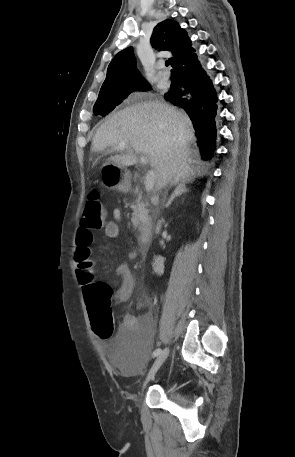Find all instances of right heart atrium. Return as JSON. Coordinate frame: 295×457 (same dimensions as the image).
<instances>
[{"mask_svg":"<svg viewBox=\"0 0 295 457\" xmlns=\"http://www.w3.org/2000/svg\"><path fill=\"white\" fill-rule=\"evenodd\" d=\"M145 90L139 87L133 88L128 92V97L131 99L141 98L145 94Z\"/></svg>","mask_w":295,"mask_h":457,"instance_id":"obj_1","label":"right heart atrium"}]
</instances>
